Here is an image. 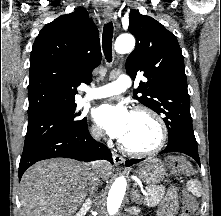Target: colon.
<instances>
[{"label":"colon","instance_id":"5ec220e1","mask_svg":"<svg viewBox=\"0 0 221 216\" xmlns=\"http://www.w3.org/2000/svg\"><path fill=\"white\" fill-rule=\"evenodd\" d=\"M167 164L173 172H181L187 169L186 162L180 157L168 159ZM181 200L183 204L182 216H196L197 206L195 199L187 190L182 191Z\"/></svg>","mask_w":221,"mask_h":216}]
</instances>
